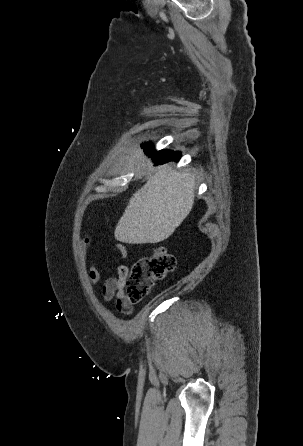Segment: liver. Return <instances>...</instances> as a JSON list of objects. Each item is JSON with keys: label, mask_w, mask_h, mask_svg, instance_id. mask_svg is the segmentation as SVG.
I'll return each instance as SVG.
<instances>
[{"label": "liver", "mask_w": 303, "mask_h": 446, "mask_svg": "<svg viewBox=\"0 0 303 446\" xmlns=\"http://www.w3.org/2000/svg\"><path fill=\"white\" fill-rule=\"evenodd\" d=\"M144 159L140 150L129 164L143 161L145 167ZM194 190L193 174L175 171L171 165L162 167L130 198L115 228V238L129 244H154L169 238L190 213Z\"/></svg>", "instance_id": "1"}]
</instances>
